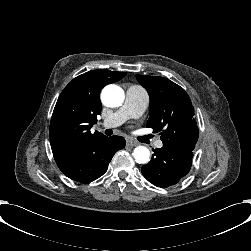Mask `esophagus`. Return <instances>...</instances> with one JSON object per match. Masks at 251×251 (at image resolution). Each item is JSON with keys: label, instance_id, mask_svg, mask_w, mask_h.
<instances>
[{"label": "esophagus", "instance_id": "esophagus-1", "mask_svg": "<svg viewBox=\"0 0 251 251\" xmlns=\"http://www.w3.org/2000/svg\"><path fill=\"white\" fill-rule=\"evenodd\" d=\"M127 145L130 146V147H134V146H138L139 142L129 139V140H127Z\"/></svg>", "mask_w": 251, "mask_h": 251}]
</instances>
